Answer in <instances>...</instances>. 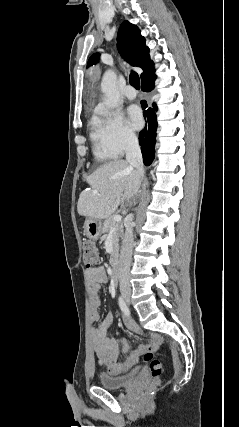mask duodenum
<instances>
[{"label": "duodenum", "mask_w": 239, "mask_h": 427, "mask_svg": "<svg viewBox=\"0 0 239 427\" xmlns=\"http://www.w3.org/2000/svg\"><path fill=\"white\" fill-rule=\"evenodd\" d=\"M111 276L112 280L116 283L119 280L120 277V269L117 262H114L111 267Z\"/></svg>", "instance_id": "duodenum-1"}]
</instances>
